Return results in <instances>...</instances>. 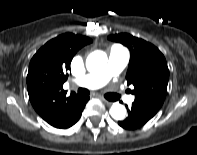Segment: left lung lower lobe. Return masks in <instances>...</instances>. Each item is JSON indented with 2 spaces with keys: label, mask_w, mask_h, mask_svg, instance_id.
Masks as SVG:
<instances>
[{
  "label": "left lung lower lobe",
  "mask_w": 197,
  "mask_h": 155,
  "mask_svg": "<svg viewBox=\"0 0 197 155\" xmlns=\"http://www.w3.org/2000/svg\"><path fill=\"white\" fill-rule=\"evenodd\" d=\"M126 108L128 110V117L125 120L118 122L122 128L129 130L137 129L146 124L153 117L136 104H132L130 109L128 106H126Z\"/></svg>",
  "instance_id": "obj_1"
}]
</instances>
